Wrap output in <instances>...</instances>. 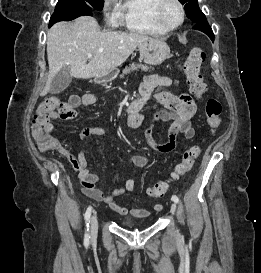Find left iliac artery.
<instances>
[{
    "label": "left iliac artery",
    "mask_w": 261,
    "mask_h": 273,
    "mask_svg": "<svg viewBox=\"0 0 261 273\" xmlns=\"http://www.w3.org/2000/svg\"><path fill=\"white\" fill-rule=\"evenodd\" d=\"M172 200H173L175 203H178V202H179V198H178L176 195H172Z\"/></svg>",
    "instance_id": "1"
}]
</instances>
